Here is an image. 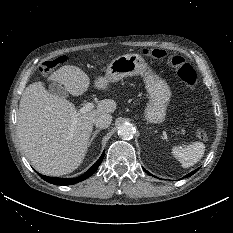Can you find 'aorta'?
<instances>
[{
	"label": "aorta",
	"instance_id": "1",
	"mask_svg": "<svg viewBox=\"0 0 233 233\" xmlns=\"http://www.w3.org/2000/svg\"><path fill=\"white\" fill-rule=\"evenodd\" d=\"M134 134L135 128L132 124L125 123L118 127V135L124 140H129L133 138Z\"/></svg>",
	"mask_w": 233,
	"mask_h": 233
}]
</instances>
